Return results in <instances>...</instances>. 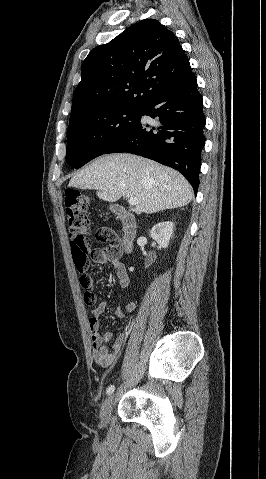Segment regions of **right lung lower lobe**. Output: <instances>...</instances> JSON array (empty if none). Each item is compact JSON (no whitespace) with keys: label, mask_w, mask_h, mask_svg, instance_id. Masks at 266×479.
<instances>
[{"label":"right lung lower lobe","mask_w":266,"mask_h":479,"mask_svg":"<svg viewBox=\"0 0 266 479\" xmlns=\"http://www.w3.org/2000/svg\"><path fill=\"white\" fill-rule=\"evenodd\" d=\"M142 108L141 116H150L159 125L139 121L105 154L128 152L172 167L185 176L196 194L206 119L195 75L159 90Z\"/></svg>","instance_id":"98d812e1"}]
</instances>
